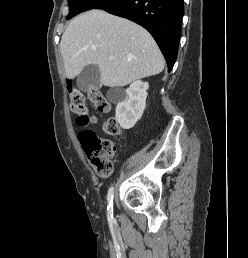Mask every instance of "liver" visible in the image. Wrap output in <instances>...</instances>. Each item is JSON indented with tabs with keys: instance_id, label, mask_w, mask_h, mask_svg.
Wrapping results in <instances>:
<instances>
[{
	"instance_id": "6515ba94",
	"label": "liver",
	"mask_w": 248,
	"mask_h": 258,
	"mask_svg": "<svg viewBox=\"0 0 248 258\" xmlns=\"http://www.w3.org/2000/svg\"><path fill=\"white\" fill-rule=\"evenodd\" d=\"M60 51L69 79L95 64L101 84L108 87H122L157 75L165 65L148 31L102 10H91L72 20L62 35ZM109 56L114 59L109 60Z\"/></svg>"
}]
</instances>
